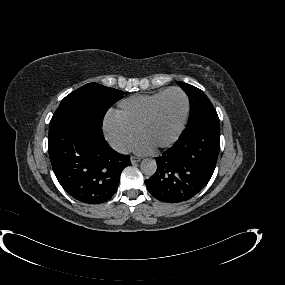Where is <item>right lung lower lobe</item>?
<instances>
[{
  "label": "right lung lower lobe",
  "mask_w": 285,
  "mask_h": 285,
  "mask_svg": "<svg viewBox=\"0 0 285 285\" xmlns=\"http://www.w3.org/2000/svg\"><path fill=\"white\" fill-rule=\"evenodd\" d=\"M48 150L53 171L65 191L78 201L99 204L117 191L130 157L113 150L101 126L83 120L65 122L51 132Z\"/></svg>",
  "instance_id": "obj_1"
}]
</instances>
